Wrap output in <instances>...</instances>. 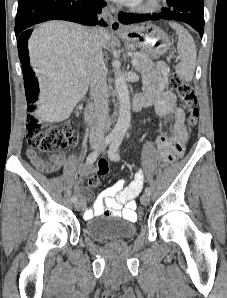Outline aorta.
I'll list each match as a JSON object with an SVG mask.
<instances>
[{
  "label": "aorta",
  "instance_id": "obj_1",
  "mask_svg": "<svg viewBox=\"0 0 227 298\" xmlns=\"http://www.w3.org/2000/svg\"><path fill=\"white\" fill-rule=\"evenodd\" d=\"M115 71V88L118 94L119 116L117 123L110 133V137L122 140L131 122L130 94L124 75L117 68V63H113Z\"/></svg>",
  "mask_w": 227,
  "mask_h": 298
}]
</instances>
